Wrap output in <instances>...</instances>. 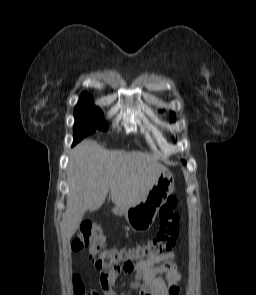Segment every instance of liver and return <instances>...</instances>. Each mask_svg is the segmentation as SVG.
<instances>
[{"label":"liver","instance_id":"6515ba94","mask_svg":"<svg viewBox=\"0 0 256 295\" xmlns=\"http://www.w3.org/2000/svg\"><path fill=\"white\" fill-rule=\"evenodd\" d=\"M165 167L140 151L107 150L94 140L78 144L67 168L66 241L77 231L86 211L99 209L110 190L119 207L142 201Z\"/></svg>","mask_w":256,"mask_h":295}]
</instances>
